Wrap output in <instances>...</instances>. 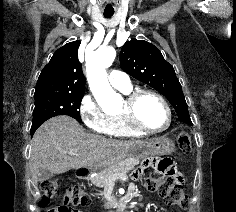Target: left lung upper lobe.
<instances>
[{
	"label": "left lung upper lobe",
	"mask_w": 236,
	"mask_h": 212,
	"mask_svg": "<svg viewBox=\"0 0 236 212\" xmlns=\"http://www.w3.org/2000/svg\"><path fill=\"white\" fill-rule=\"evenodd\" d=\"M120 64L133 78L164 95L174 107L178 120L192 124L174 68L164 59L157 47L147 41L133 38L122 47Z\"/></svg>",
	"instance_id": "1"
}]
</instances>
